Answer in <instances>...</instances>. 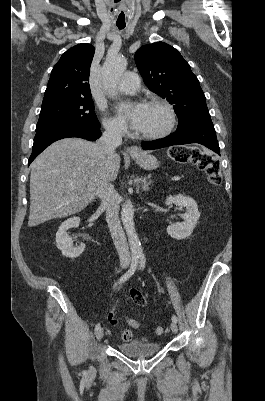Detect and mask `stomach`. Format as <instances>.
Here are the masks:
<instances>
[{
	"label": "stomach",
	"instance_id": "obj_1",
	"mask_svg": "<svg viewBox=\"0 0 265 401\" xmlns=\"http://www.w3.org/2000/svg\"><path fill=\"white\" fill-rule=\"evenodd\" d=\"M132 158L136 160L137 164L139 166H142V168H145V170H154V168H157L159 166V162L156 158V156H153V154H148L146 150H141L139 154H131Z\"/></svg>",
	"mask_w": 265,
	"mask_h": 401
}]
</instances>
